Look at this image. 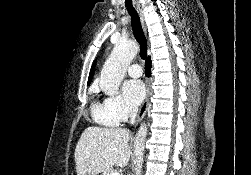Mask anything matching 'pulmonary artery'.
<instances>
[{
	"label": "pulmonary artery",
	"instance_id": "1",
	"mask_svg": "<svg viewBox=\"0 0 251 175\" xmlns=\"http://www.w3.org/2000/svg\"><path fill=\"white\" fill-rule=\"evenodd\" d=\"M127 72L130 76H133V77H138V76H141L142 73H143V70L142 68L140 67L139 64L137 63H132L128 69H127Z\"/></svg>",
	"mask_w": 251,
	"mask_h": 175
}]
</instances>
